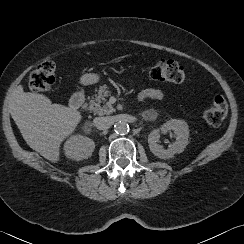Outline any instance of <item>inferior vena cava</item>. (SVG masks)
I'll return each mask as SVG.
<instances>
[{"mask_svg":"<svg viewBox=\"0 0 244 244\" xmlns=\"http://www.w3.org/2000/svg\"><path fill=\"white\" fill-rule=\"evenodd\" d=\"M114 121L112 117L106 116V117H96L93 120V124L96 128L100 130H105L110 128L113 125Z\"/></svg>","mask_w":244,"mask_h":244,"instance_id":"1","label":"inferior vena cava"}]
</instances>
